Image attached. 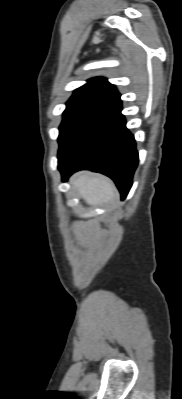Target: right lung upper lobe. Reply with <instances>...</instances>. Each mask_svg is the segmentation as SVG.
I'll list each match as a JSON object with an SVG mask.
<instances>
[{
    "instance_id": "cb5924a9",
    "label": "right lung upper lobe",
    "mask_w": 182,
    "mask_h": 399,
    "mask_svg": "<svg viewBox=\"0 0 182 399\" xmlns=\"http://www.w3.org/2000/svg\"><path fill=\"white\" fill-rule=\"evenodd\" d=\"M72 97H86L109 104L120 99V94L107 79L95 77L88 80V83L85 85L76 89Z\"/></svg>"
}]
</instances>
